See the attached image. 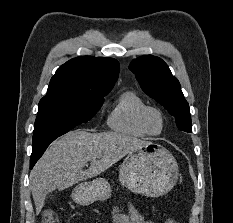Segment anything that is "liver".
<instances>
[{"mask_svg":"<svg viewBox=\"0 0 233 223\" xmlns=\"http://www.w3.org/2000/svg\"><path fill=\"white\" fill-rule=\"evenodd\" d=\"M144 141L125 133H89L68 131L46 149L30 171V189L39 215L45 197L54 189H65L79 181L103 173L122 159L131 149L142 147ZM91 161L88 169H83Z\"/></svg>","mask_w":233,"mask_h":223,"instance_id":"6515ba94","label":"liver"}]
</instances>
